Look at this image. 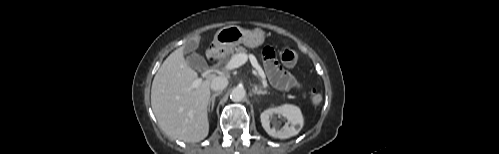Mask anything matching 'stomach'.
I'll list each match as a JSON object with an SVG mask.
<instances>
[{
    "label": "stomach",
    "mask_w": 499,
    "mask_h": 154,
    "mask_svg": "<svg viewBox=\"0 0 499 154\" xmlns=\"http://www.w3.org/2000/svg\"><path fill=\"white\" fill-rule=\"evenodd\" d=\"M263 30H245L239 26L231 25L220 29L214 36L213 44L218 50L231 49L239 44L249 48H256L263 44L265 39Z\"/></svg>",
    "instance_id": "0dacf381"
}]
</instances>
